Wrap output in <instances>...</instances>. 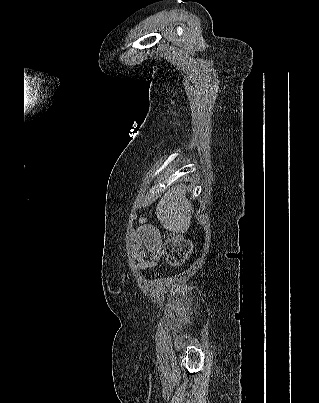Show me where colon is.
<instances>
[{
  "label": "colon",
  "mask_w": 319,
  "mask_h": 403,
  "mask_svg": "<svg viewBox=\"0 0 319 403\" xmlns=\"http://www.w3.org/2000/svg\"><path fill=\"white\" fill-rule=\"evenodd\" d=\"M139 234L142 239H138V248H147L152 258H156L164 252L170 264L177 266L185 263L192 252L191 243L175 233H166L164 241L159 232L146 224L139 227Z\"/></svg>",
  "instance_id": "obj_1"
}]
</instances>
